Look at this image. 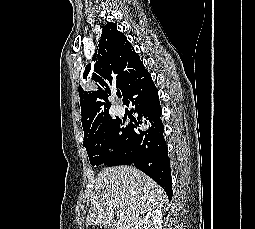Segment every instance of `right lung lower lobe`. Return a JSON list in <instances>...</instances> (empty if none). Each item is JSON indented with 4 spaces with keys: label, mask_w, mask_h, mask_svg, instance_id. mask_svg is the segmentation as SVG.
I'll return each instance as SVG.
<instances>
[{
    "label": "right lung lower lobe",
    "mask_w": 255,
    "mask_h": 229,
    "mask_svg": "<svg viewBox=\"0 0 255 229\" xmlns=\"http://www.w3.org/2000/svg\"><path fill=\"white\" fill-rule=\"evenodd\" d=\"M124 103L132 106L137 115L128 125L132 138V156L119 165H134L157 182L172 199V179L168 149L164 140V127L158 91L151 75L142 67L130 83Z\"/></svg>",
    "instance_id": "98d812e1"
}]
</instances>
